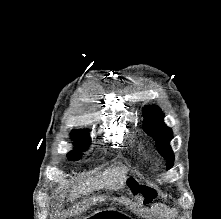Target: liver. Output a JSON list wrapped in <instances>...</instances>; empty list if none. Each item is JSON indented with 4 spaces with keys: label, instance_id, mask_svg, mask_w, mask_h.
<instances>
[{
    "label": "liver",
    "instance_id": "obj_1",
    "mask_svg": "<svg viewBox=\"0 0 221 219\" xmlns=\"http://www.w3.org/2000/svg\"><path fill=\"white\" fill-rule=\"evenodd\" d=\"M126 168H113L103 171L94 177H89L80 181L77 186L73 187L71 197L77 198L81 194H87L93 191L106 189H121L125 181Z\"/></svg>",
    "mask_w": 221,
    "mask_h": 219
}]
</instances>
